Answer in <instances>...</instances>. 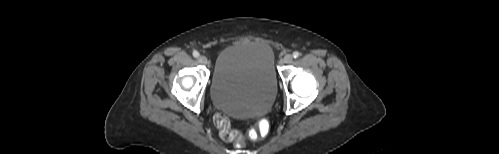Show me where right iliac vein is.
I'll return each mask as SVG.
<instances>
[{
    "label": "right iliac vein",
    "mask_w": 499,
    "mask_h": 154,
    "mask_svg": "<svg viewBox=\"0 0 499 154\" xmlns=\"http://www.w3.org/2000/svg\"><path fill=\"white\" fill-rule=\"evenodd\" d=\"M198 60L201 64H204V65H206L208 63V60H207L206 56H204V55L199 56Z\"/></svg>",
    "instance_id": "obj_1"
}]
</instances>
